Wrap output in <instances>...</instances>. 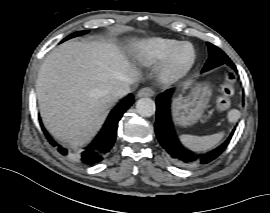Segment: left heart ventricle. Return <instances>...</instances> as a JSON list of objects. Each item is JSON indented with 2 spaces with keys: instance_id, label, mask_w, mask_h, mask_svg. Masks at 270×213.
Returning <instances> with one entry per match:
<instances>
[{
  "instance_id": "obj_1",
  "label": "left heart ventricle",
  "mask_w": 270,
  "mask_h": 213,
  "mask_svg": "<svg viewBox=\"0 0 270 213\" xmlns=\"http://www.w3.org/2000/svg\"><path fill=\"white\" fill-rule=\"evenodd\" d=\"M190 54V49L187 46H184L180 49L178 57L182 60L186 59L189 57Z\"/></svg>"
}]
</instances>
